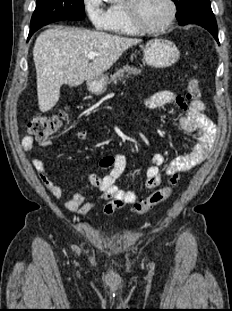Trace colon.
Here are the masks:
<instances>
[{
  "instance_id": "colon-1",
  "label": "colon",
  "mask_w": 232,
  "mask_h": 311,
  "mask_svg": "<svg viewBox=\"0 0 232 311\" xmlns=\"http://www.w3.org/2000/svg\"><path fill=\"white\" fill-rule=\"evenodd\" d=\"M186 98L188 101H197L200 98V89L197 80L191 79L186 87ZM68 116V110L63 109L58 114L47 117L44 115H36L28 124L29 134L39 138L46 139L55 133L63 124ZM178 181V176L175 174L171 178L170 185L162 187L145 199L134 204V211L138 214H143L161 203L168 200L173 192V188Z\"/></svg>"
}]
</instances>
